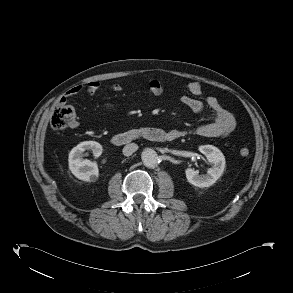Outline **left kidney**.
<instances>
[{
    "label": "left kidney",
    "mask_w": 293,
    "mask_h": 293,
    "mask_svg": "<svg viewBox=\"0 0 293 293\" xmlns=\"http://www.w3.org/2000/svg\"><path fill=\"white\" fill-rule=\"evenodd\" d=\"M199 151L213 166L207 170L205 175H199L198 171L187 168L185 170L186 178L190 184L196 187H210L222 176L225 169V157L218 148L212 145L200 146Z\"/></svg>",
    "instance_id": "obj_1"
}]
</instances>
